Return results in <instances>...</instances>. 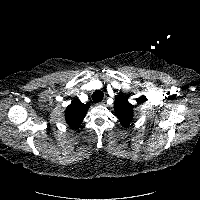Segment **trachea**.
<instances>
[{
    "label": "trachea",
    "instance_id": "trachea-1",
    "mask_svg": "<svg viewBox=\"0 0 200 200\" xmlns=\"http://www.w3.org/2000/svg\"><path fill=\"white\" fill-rule=\"evenodd\" d=\"M104 97V94L102 91H95L93 94H92V99L94 102H100L102 101Z\"/></svg>",
    "mask_w": 200,
    "mask_h": 200
}]
</instances>
